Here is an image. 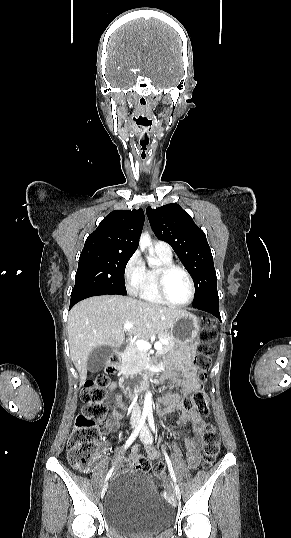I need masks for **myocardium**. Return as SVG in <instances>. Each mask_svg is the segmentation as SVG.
I'll use <instances>...</instances> for the list:
<instances>
[{
  "mask_svg": "<svg viewBox=\"0 0 291 538\" xmlns=\"http://www.w3.org/2000/svg\"><path fill=\"white\" fill-rule=\"evenodd\" d=\"M173 271H181L186 276L189 282V288H190L189 296L186 301L181 302V303L172 301L167 295L166 278ZM156 286H157V291H158L159 296L168 305H171L174 307H185L189 305L194 299L195 284H194L193 278L191 274L189 273V271L180 265L172 263V264H165L159 267L156 273Z\"/></svg>",
  "mask_w": 291,
  "mask_h": 538,
  "instance_id": "myocardium-1",
  "label": "myocardium"
}]
</instances>
